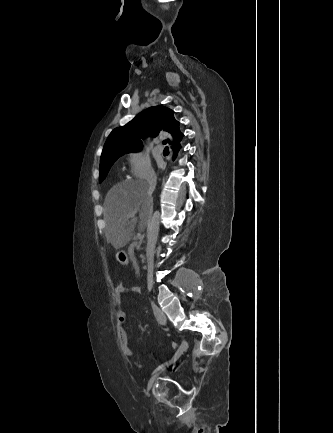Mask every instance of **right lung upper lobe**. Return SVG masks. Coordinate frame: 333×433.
<instances>
[{
    "instance_id": "obj_1",
    "label": "right lung upper lobe",
    "mask_w": 333,
    "mask_h": 433,
    "mask_svg": "<svg viewBox=\"0 0 333 433\" xmlns=\"http://www.w3.org/2000/svg\"><path fill=\"white\" fill-rule=\"evenodd\" d=\"M173 110L164 106H153L139 113L122 127L114 129L108 136L103 147L101 160L115 154L130 153L142 149L141 138L157 136L160 130L170 133L173 137L172 147L180 145L183 133L179 122L173 115Z\"/></svg>"
}]
</instances>
